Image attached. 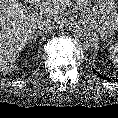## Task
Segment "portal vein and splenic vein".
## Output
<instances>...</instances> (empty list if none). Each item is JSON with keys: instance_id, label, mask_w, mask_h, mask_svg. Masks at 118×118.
<instances>
[{"instance_id": "obj_1", "label": "portal vein and splenic vein", "mask_w": 118, "mask_h": 118, "mask_svg": "<svg viewBox=\"0 0 118 118\" xmlns=\"http://www.w3.org/2000/svg\"><path fill=\"white\" fill-rule=\"evenodd\" d=\"M39 7H40V10H41V12H42V9H41V3H39V5H38Z\"/></svg>"}]
</instances>
